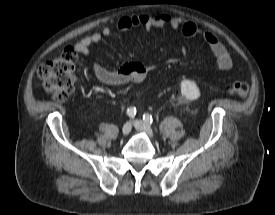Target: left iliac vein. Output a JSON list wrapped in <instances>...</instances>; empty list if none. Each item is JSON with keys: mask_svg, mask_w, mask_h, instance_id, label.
Listing matches in <instances>:
<instances>
[{"mask_svg": "<svg viewBox=\"0 0 275 215\" xmlns=\"http://www.w3.org/2000/svg\"><path fill=\"white\" fill-rule=\"evenodd\" d=\"M134 126L138 131L147 134L149 137H154L153 131L150 128V126L148 124L144 123L143 121L138 120V119L135 120Z\"/></svg>", "mask_w": 275, "mask_h": 215, "instance_id": "left-iliac-vein-1", "label": "left iliac vein"}]
</instances>
